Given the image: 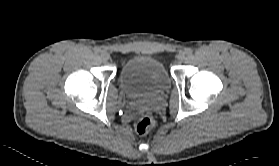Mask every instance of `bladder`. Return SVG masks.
I'll return each instance as SVG.
<instances>
[{"label": "bladder", "mask_w": 279, "mask_h": 166, "mask_svg": "<svg viewBox=\"0 0 279 166\" xmlns=\"http://www.w3.org/2000/svg\"><path fill=\"white\" fill-rule=\"evenodd\" d=\"M119 84L129 97L140 98L163 94L168 90L170 81L159 60L150 56H137L122 65Z\"/></svg>", "instance_id": "bladder-1"}]
</instances>
